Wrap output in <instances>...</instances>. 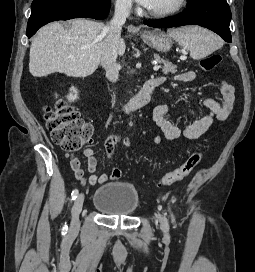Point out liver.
<instances>
[{"label": "liver", "mask_w": 255, "mask_h": 272, "mask_svg": "<svg viewBox=\"0 0 255 272\" xmlns=\"http://www.w3.org/2000/svg\"><path fill=\"white\" fill-rule=\"evenodd\" d=\"M106 36L104 23L89 19H74L67 25L49 23L32 40L29 71L34 77H45L56 72L87 77L100 64ZM125 49L121 39L118 54L123 55Z\"/></svg>", "instance_id": "liver-1"}]
</instances>
